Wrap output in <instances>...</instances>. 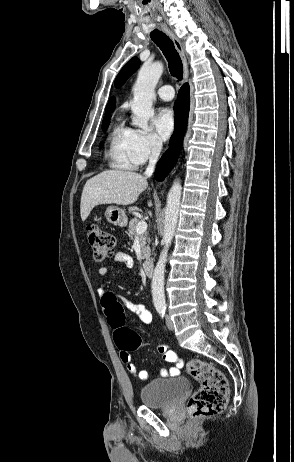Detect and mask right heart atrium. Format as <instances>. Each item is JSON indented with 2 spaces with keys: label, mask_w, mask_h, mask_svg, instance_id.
Segmentation results:
<instances>
[{
  "label": "right heart atrium",
  "mask_w": 294,
  "mask_h": 462,
  "mask_svg": "<svg viewBox=\"0 0 294 462\" xmlns=\"http://www.w3.org/2000/svg\"><path fill=\"white\" fill-rule=\"evenodd\" d=\"M160 150L161 143L153 133L132 130L130 152L136 165H142L154 158Z\"/></svg>",
  "instance_id": "1"
}]
</instances>
